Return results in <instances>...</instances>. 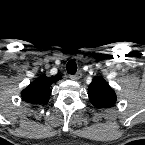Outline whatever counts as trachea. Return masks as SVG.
Returning <instances> with one entry per match:
<instances>
[{"instance_id": "1", "label": "trachea", "mask_w": 145, "mask_h": 145, "mask_svg": "<svg viewBox=\"0 0 145 145\" xmlns=\"http://www.w3.org/2000/svg\"><path fill=\"white\" fill-rule=\"evenodd\" d=\"M66 69L69 74L73 75L77 71V64L73 60H70L66 65Z\"/></svg>"}]
</instances>
